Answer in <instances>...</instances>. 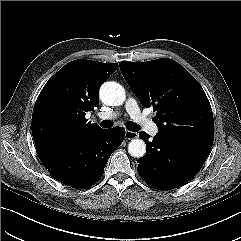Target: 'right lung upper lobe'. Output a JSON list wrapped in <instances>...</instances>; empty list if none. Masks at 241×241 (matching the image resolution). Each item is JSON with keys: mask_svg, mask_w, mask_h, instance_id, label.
Returning a JSON list of instances; mask_svg holds the SVG:
<instances>
[{"mask_svg": "<svg viewBox=\"0 0 241 241\" xmlns=\"http://www.w3.org/2000/svg\"><path fill=\"white\" fill-rule=\"evenodd\" d=\"M117 69L116 63L78 59L66 64L46 83L32 114L38 156L89 139L102 130L87 122L85 113L99 106V88Z\"/></svg>", "mask_w": 241, "mask_h": 241, "instance_id": "cb5924a9", "label": "right lung upper lobe"}]
</instances>
